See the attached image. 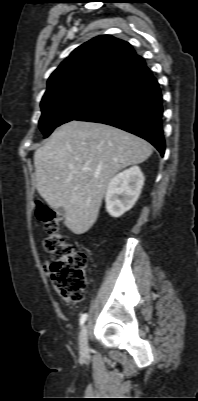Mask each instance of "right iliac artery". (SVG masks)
<instances>
[{
  "instance_id": "obj_1",
  "label": "right iliac artery",
  "mask_w": 198,
  "mask_h": 401,
  "mask_svg": "<svg viewBox=\"0 0 198 401\" xmlns=\"http://www.w3.org/2000/svg\"><path fill=\"white\" fill-rule=\"evenodd\" d=\"M86 319H87V314L85 313V314H83V315L81 316V318H80V325H83L84 322L86 321Z\"/></svg>"
}]
</instances>
